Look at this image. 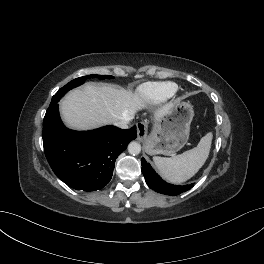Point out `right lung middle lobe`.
Wrapping results in <instances>:
<instances>
[{"instance_id":"obj_1","label":"right lung middle lobe","mask_w":264,"mask_h":264,"mask_svg":"<svg viewBox=\"0 0 264 264\" xmlns=\"http://www.w3.org/2000/svg\"><path fill=\"white\" fill-rule=\"evenodd\" d=\"M88 78H98V79H111L113 76H105V75H88L83 76L77 79L72 80L68 84H66L64 87H62L52 98V102H57L67 91H69L72 88H75L85 82ZM51 102V103H52Z\"/></svg>"}]
</instances>
